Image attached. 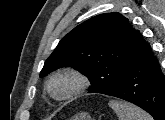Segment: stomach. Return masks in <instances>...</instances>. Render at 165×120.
I'll use <instances>...</instances> for the list:
<instances>
[{
    "label": "stomach",
    "mask_w": 165,
    "mask_h": 120,
    "mask_svg": "<svg viewBox=\"0 0 165 120\" xmlns=\"http://www.w3.org/2000/svg\"><path fill=\"white\" fill-rule=\"evenodd\" d=\"M71 120H93L91 116L86 112H81L76 115Z\"/></svg>",
    "instance_id": "stomach-1"
}]
</instances>
